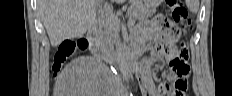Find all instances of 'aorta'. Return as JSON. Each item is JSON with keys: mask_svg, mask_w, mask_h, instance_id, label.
<instances>
[{"mask_svg": "<svg viewBox=\"0 0 232 96\" xmlns=\"http://www.w3.org/2000/svg\"><path fill=\"white\" fill-rule=\"evenodd\" d=\"M118 61H119V66H120V69L124 72H127V64L125 62V59L122 55V53H119V58H118Z\"/></svg>", "mask_w": 232, "mask_h": 96, "instance_id": "1", "label": "aorta"}]
</instances>
